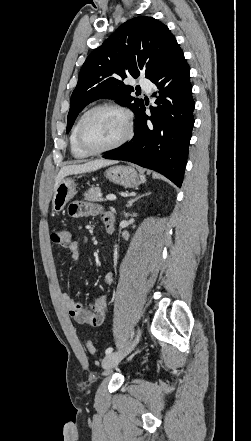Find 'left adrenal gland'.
I'll list each match as a JSON object with an SVG mask.
<instances>
[{
    "instance_id": "a2214340",
    "label": "left adrenal gland",
    "mask_w": 251,
    "mask_h": 441,
    "mask_svg": "<svg viewBox=\"0 0 251 441\" xmlns=\"http://www.w3.org/2000/svg\"><path fill=\"white\" fill-rule=\"evenodd\" d=\"M149 194H150V192L145 193V194H142V195L135 196L134 198L130 199V200L127 202L126 207H127V208H130V207L133 205L134 202H136L137 200H139V199H141L142 197L147 196V195H149Z\"/></svg>"
}]
</instances>
